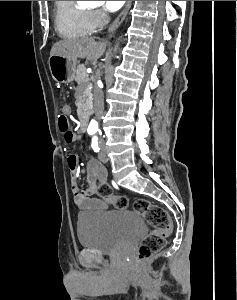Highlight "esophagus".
I'll list each match as a JSON object with an SVG mask.
<instances>
[{"instance_id":"34e87169","label":"esophagus","mask_w":237,"mask_h":300,"mask_svg":"<svg viewBox=\"0 0 237 300\" xmlns=\"http://www.w3.org/2000/svg\"><path fill=\"white\" fill-rule=\"evenodd\" d=\"M131 3H132V1H126V4H125L123 10L121 11V13L117 16L115 21H113V23L109 27V29H108L109 33H112L113 31H115L120 26V24L124 21L126 15L128 14Z\"/></svg>"}]
</instances>
